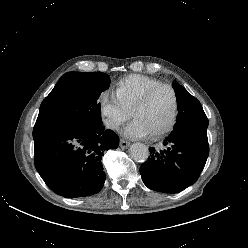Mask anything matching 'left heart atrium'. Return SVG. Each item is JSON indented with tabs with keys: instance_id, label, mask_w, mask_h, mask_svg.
I'll return each instance as SVG.
<instances>
[{
	"instance_id": "39dd6f15",
	"label": "left heart atrium",
	"mask_w": 248,
	"mask_h": 248,
	"mask_svg": "<svg viewBox=\"0 0 248 248\" xmlns=\"http://www.w3.org/2000/svg\"><path fill=\"white\" fill-rule=\"evenodd\" d=\"M149 134L148 130L136 119H133L124 129V135L133 139L144 138Z\"/></svg>"
}]
</instances>
